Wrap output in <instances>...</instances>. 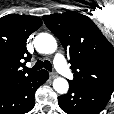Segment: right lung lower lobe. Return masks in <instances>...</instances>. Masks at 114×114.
<instances>
[{"label": "right lung lower lobe", "instance_id": "right-lung-lower-lobe-1", "mask_svg": "<svg viewBox=\"0 0 114 114\" xmlns=\"http://www.w3.org/2000/svg\"><path fill=\"white\" fill-rule=\"evenodd\" d=\"M49 78L46 70L0 91V114H25L35 105V91Z\"/></svg>", "mask_w": 114, "mask_h": 114}]
</instances>
